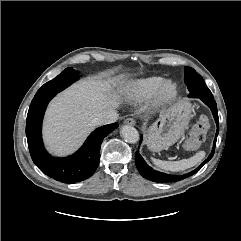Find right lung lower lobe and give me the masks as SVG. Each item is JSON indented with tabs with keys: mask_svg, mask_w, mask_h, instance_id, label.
Listing matches in <instances>:
<instances>
[{
	"mask_svg": "<svg viewBox=\"0 0 241 241\" xmlns=\"http://www.w3.org/2000/svg\"><path fill=\"white\" fill-rule=\"evenodd\" d=\"M54 96L33 98L29 107L26 136L31 158L44 174L55 180L65 183L80 182L94 174L99 165L101 143L104 137L118 127V124L97 128L75 154L65 158H54L45 150L41 135L44 112Z\"/></svg>",
	"mask_w": 241,
	"mask_h": 241,
	"instance_id": "1",
	"label": "right lung lower lobe"
}]
</instances>
